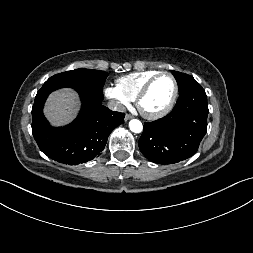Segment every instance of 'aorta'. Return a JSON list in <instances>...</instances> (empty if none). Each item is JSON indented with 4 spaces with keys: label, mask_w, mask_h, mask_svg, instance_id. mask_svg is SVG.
<instances>
[{
    "label": "aorta",
    "mask_w": 253,
    "mask_h": 253,
    "mask_svg": "<svg viewBox=\"0 0 253 253\" xmlns=\"http://www.w3.org/2000/svg\"><path fill=\"white\" fill-rule=\"evenodd\" d=\"M129 128L134 133H140L143 130V125H142V123L139 120L132 119L129 122Z\"/></svg>",
    "instance_id": "obj_1"
}]
</instances>
